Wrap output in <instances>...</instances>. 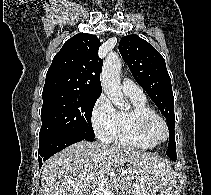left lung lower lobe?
Wrapping results in <instances>:
<instances>
[{"label":"left lung lower lobe","mask_w":211,"mask_h":195,"mask_svg":"<svg viewBox=\"0 0 211 195\" xmlns=\"http://www.w3.org/2000/svg\"><path fill=\"white\" fill-rule=\"evenodd\" d=\"M172 160H175L176 161V157H173Z\"/></svg>","instance_id":"1"}]
</instances>
